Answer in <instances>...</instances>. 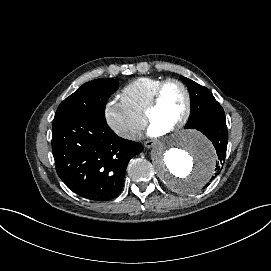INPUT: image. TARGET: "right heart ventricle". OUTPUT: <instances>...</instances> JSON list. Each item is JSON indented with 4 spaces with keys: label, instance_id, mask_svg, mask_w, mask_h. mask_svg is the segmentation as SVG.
<instances>
[{
    "label": "right heart ventricle",
    "instance_id": "right-heart-ventricle-1",
    "mask_svg": "<svg viewBox=\"0 0 271 271\" xmlns=\"http://www.w3.org/2000/svg\"><path fill=\"white\" fill-rule=\"evenodd\" d=\"M163 79L153 76L136 78L122 88V98L133 112L145 116L152 93Z\"/></svg>",
    "mask_w": 271,
    "mask_h": 271
}]
</instances>
